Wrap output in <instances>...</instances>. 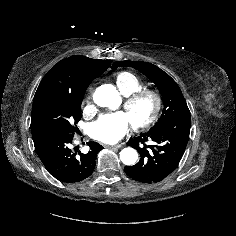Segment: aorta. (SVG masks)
Here are the masks:
<instances>
[{
  "instance_id": "obj_1",
  "label": "aorta",
  "mask_w": 236,
  "mask_h": 236,
  "mask_svg": "<svg viewBox=\"0 0 236 236\" xmlns=\"http://www.w3.org/2000/svg\"><path fill=\"white\" fill-rule=\"evenodd\" d=\"M94 102L100 107L113 108L118 105L120 101L119 92L110 85L99 87L93 94ZM138 159V153L134 148H124L120 152V160L125 165H132Z\"/></svg>"
}]
</instances>
